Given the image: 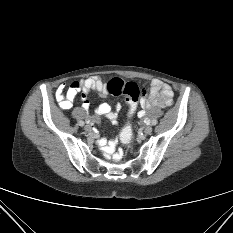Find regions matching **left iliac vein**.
Listing matches in <instances>:
<instances>
[{
  "mask_svg": "<svg viewBox=\"0 0 233 233\" xmlns=\"http://www.w3.org/2000/svg\"><path fill=\"white\" fill-rule=\"evenodd\" d=\"M151 132H152V126L147 125V126L144 128V133H145V134H151Z\"/></svg>",
  "mask_w": 233,
  "mask_h": 233,
  "instance_id": "4c4485c4",
  "label": "left iliac vein"
}]
</instances>
